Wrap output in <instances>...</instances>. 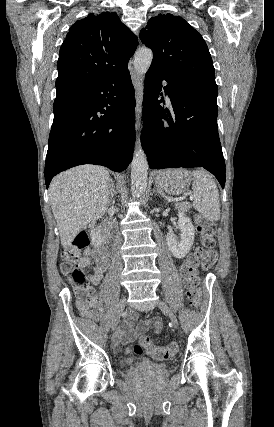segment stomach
I'll return each instance as SVG.
<instances>
[{
  "label": "stomach",
  "mask_w": 274,
  "mask_h": 427,
  "mask_svg": "<svg viewBox=\"0 0 274 427\" xmlns=\"http://www.w3.org/2000/svg\"><path fill=\"white\" fill-rule=\"evenodd\" d=\"M191 180L190 172L182 170V168L180 170H162V172H156L155 174V186L161 192H166L171 196L184 194Z\"/></svg>",
  "instance_id": "obj_1"
}]
</instances>
